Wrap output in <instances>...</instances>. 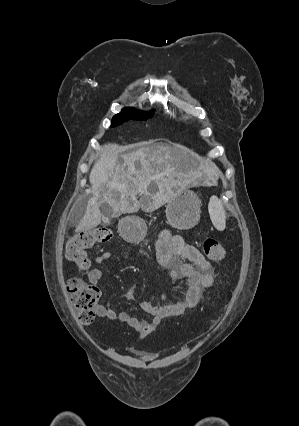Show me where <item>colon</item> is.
<instances>
[{
    "label": "colon",
    "mask_w": 299,
    "mask_h": 426,
    "mask_svg": "<svg viewBox=\"0 0 299 426\" xmlns=\"http://www.w3.org/2000/svg\"><path fill=\"white\" fill-rule=\"evenodd\" d=\"M111 238L112 231L107 227L78 232L67 243V259L80 270L85 271L90 267L87 251ZM203 251L211 261L219 262L225 257L224 247L215 238H207L204 241ZM67 291L80 322L84 325L90 324L95 316L99 290L83 279L75 277L67 281Z\"/></svg>",
    "instance_id": "colon-1"
}]
</instances>
